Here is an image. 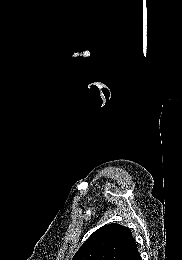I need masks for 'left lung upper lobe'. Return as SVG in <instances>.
Instances as JSON below:
<instances>
[{
    "label": "left lung upper lobe",
    "mask_w": 182,
    "mask_h": 260,
    "mask_svg": "<svg viewBox=\"0 0 182 260\" xmlns=\"http://www.w3.org/2000/svg\"><path fill=\"white\" fill-rule=\"evenodd\" d=\"M135 244L128 227L107 224L91 234L72 260H124Z\"/></svg>",
    "instance_id": "obj_1"
}]
</instances>
